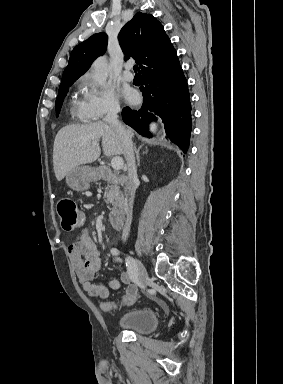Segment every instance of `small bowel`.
Returning <instances> with one entry per match:
<instances>
[{
	"label": "small bowel",
	"instance_id": "obj_1",
	"mask_svg": "<svg viewBox=\"0 0 283 384\" xmlns=\"http://www.w3.org/2000/svg\"><path fill=\"white\" fill-rule=\"evenodd\" d=\"M68 252L83 291L92 298L103 301L110 296L111 291L119 290L122 284L130 285L132 282L128 271L122 272L120 279L94 282L95 275L101 268V257L88 228L81 229L70 240ZM114 260L120 262L117 257H114Z\"/></svg>",
	"mask_w": 283,
	"mask_h": 384
}]
</instances>
